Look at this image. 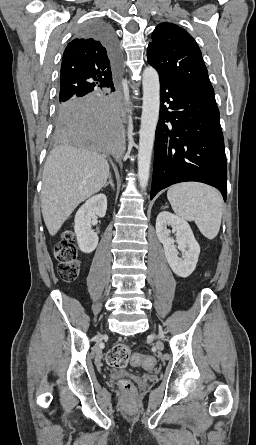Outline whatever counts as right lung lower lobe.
Instances as JSON below:
<instances>
[{
  "instance_id": "obj_1",
  "label": "right lung lower lobe",
  "mask_w": 256,
  "mask_h": 445,
  "mask_svg": "<svg viewBox=\"0 0 256 445\" xmlns=\"http://www.w3.org/2000/svg\"><path fill=\"white\" fill-rule=\"evenodd\" d=\"M85 33L101 41L114 64L118 66L120 51L111 28L102 22L85 27ZM115 88L87 95H76L57 105L55 135L58 140L90 149L106 158L122 156L124 143L121 135L119 99Z\"/></svg>"
}]
</instances>
